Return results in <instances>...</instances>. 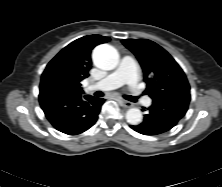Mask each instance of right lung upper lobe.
Wrapping results in <instances>:
<instances>
[{
    "mask_svg": "<svg viewBox=\"0 0 222 187\" xmlns=\"http://www.w3.org/2000/svg\"><path fill=\"white\" fill-rule=\"evenodd\" d=\"M109 40V37L101 35H88L73 41L49 62L42 74L41 83L46 79H53L73 93L82 95L80 82L89 76L91 50Z\"/></svg>",
    "mask_w": 222,
    "mask_h": 187,
    "instance_id": "right-lung-upper-lobe-1",
    "label": "right lung upper lobe"
}]
</instances>
